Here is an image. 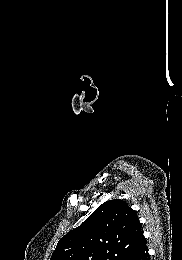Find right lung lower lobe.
Listing matches in <instances>:
<instances>
[{"label":"right lung lower lobe","instance_id":"1","mask_svg":"<svg viewBox=\"0 0 182 260\" xmlns=\"http://www.w3.org/2000/svg\"><path fill=\"white\" fill-rule=\"evenodd\" d=\"M123 260H150L146 241L139 245L135 250L127 254Z\"/></svg>","mask_w":182,"mask_h":260}]
</instances>
